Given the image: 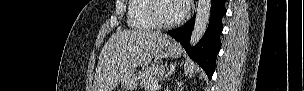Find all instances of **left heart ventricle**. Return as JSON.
Masks as SVG:
<instances>
[{"mask_svg": "<svg viewBox=\"0 0 304 91\" xmlns=\"http://www.w3.org/2000/svg\"><path fill=\"white\" fill-rule=\"evenodd\" d=\"M158 14L164 21H173L182 15L181 4L174 0L161 1L158 4Z\"/></svg>", "mask_w": 304, "mask_h": 91, "instance_id": "b2bd125f", "label": "left heart ventricle"}]
</instances>
